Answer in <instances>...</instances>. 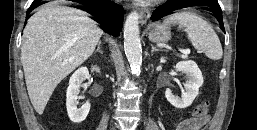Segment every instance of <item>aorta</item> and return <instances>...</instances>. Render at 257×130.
Wrapping results in <instances>:
<instances>
[{
	"label": "aorta",
	"mask_w": 257,
	"mask_h": 130,
	"mask_svg": "<svg viewBox=\"0 0 257 130\" xmlns=\"http://www.w3.org/2000/svg\"><path fill=\"white\" fill-rule=\"evenodd\" d=\"M124 50L132 72L140 75L142 66V50L139 37V15L131 12L124 24Z\"/></svg>",
	"instance_id": "obj_1"
}]
</instances>
